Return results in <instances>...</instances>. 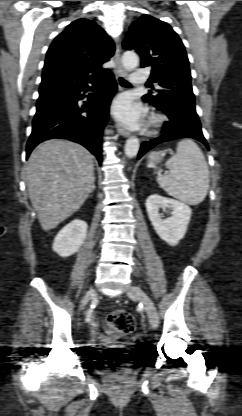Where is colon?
<instances>
[{"label": "colon", "instance_id": "1", "mask_svg": "<svg viewBox=\"0 0 242 416\" xmlns=\"http://www.w3.org/2000/svg\"><path fill=\"white\" fill-rule=\"evenodd\" d=\"M107 328L111 335H127L135 329V319L128 311L115 310L107 318Z\"/></svg>", "mask_w": 242, "mask_h": 416}]
</instances>
